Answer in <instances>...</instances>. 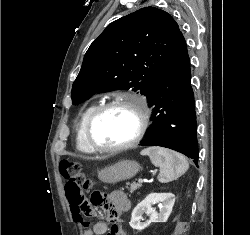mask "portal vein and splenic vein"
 I'll list each match as a JSON object with an SVG mask.
<instances>
[{
	"instance_id": "1",
	"label": "portal vein and splenic vein",
	"mask_w": 250,
	"mask_h": 235,
	"mask_svg": "<svg viewBox=\"0 0 250 235\" xmlns=\"http://www.w3.org/2000/svg\"><path fill=\"white\" fill-rule=\"evenodd\" d=\"M144 180L142 178L138 179V183H142Z\"/></svg>"
}]
</instances>
